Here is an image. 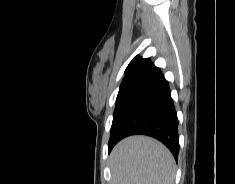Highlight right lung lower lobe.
Returning <instances> with one entry per match:
<instances>
[{
	"label": "right lung lower lobe",
	"mask_w": 235,
	"mask_h": 184,
	"mask_svg": "<svg viewBox=\"0 0 235 184\" xmlns=\"http://www.w3.org/2000/svg\"><path fill=\"white\" fill-rule=\"evenodd\" d=\"M143 134L161 141L177 160L178 119L169 84L154 67L137 85L127 89L114 111L109 153L121 139Z\"/></svg>",
	"instance_id": "right-lung-lower-lobe-1"
}]
</instances>
